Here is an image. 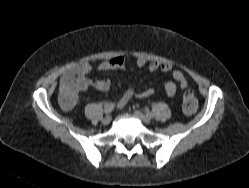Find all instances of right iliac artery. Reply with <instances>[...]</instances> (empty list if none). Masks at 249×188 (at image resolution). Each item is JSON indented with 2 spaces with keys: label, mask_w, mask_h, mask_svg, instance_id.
Wrapping results in <instances>:
<instances>
[{
  "label": "right iliac artery",
  "mask_w": 249,
  "mask_h": 188,
  "mask_svg": "<svg viewBox=\"0 0 249 188\" xmlns=\"http://www.w3.org/2000/svg\"><path fill=\"white\" fill-rule=\"evenodd\" d=\"M114 108H115V104L114 103H108V104H106L105 107H104L105 114L111 113Z\"/></svg>",
  "instance_id": "82829eb1"
}]
</instances>
